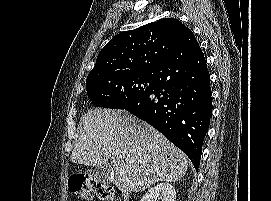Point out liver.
<instances>
[{"mask_svg":"<svg viewBox=\"0 0 271 201\" xmlns=\"http://www.w3.org/2000/svg\"><path fill=\"white\" fill-rule=\"evenodd\" d=\"M109 159L113 182L123 192L143 191L159 181L176 182L188 168L186 155L146 122L124 110L94 108L81 119L71 161L97 167Z\"/></svg>","mask_w":271,"mask_h":201,"instance_id":"1","label":"liver"}]
</instances>
